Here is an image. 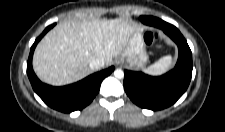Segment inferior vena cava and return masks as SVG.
Segmentation results:
<instances>
[{
	"mask_svg": "<svg viewBox=\"0 0 225 132\" xmlns=\"http://www.w3.org/2000/svg\"><path fill=\"white\" fill-rule=\"evenodd\" d=\"M105 62L101 58H95L89 63V67L92 70H99L104 66Z\"/></svg>",
	"mask_w": 225,
	"mask_h": 132,
	"instance_id": "1",
	"label": "inferior vena cava"
}]
</instances>
